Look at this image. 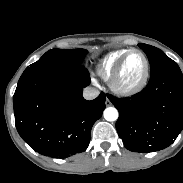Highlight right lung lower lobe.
I'll list each match as a JSON object with an SVG mask.
<instances>
[{
  "label": "right lung lower lobe",
  "mask_w": 183,
  "mask_h": 183,
  "mask_svg": "<svg viewBox=\"0 0 183 183\" xmlns=\"http://www.w3.org/2000/svg\"><path fill=\"white\" fill-rule=\"evenodd\" d=\"M90 84L82 64L23 73L13 96L15 125L36 152L67 158L85 151L93 124L105 109V93L87 101L83 88Z\"/></svg>",
  "instance_id": "98d812e1"
}]
</instances>
